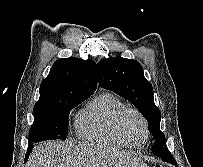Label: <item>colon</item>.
<instances>
[{"instance_id":"5ec220e1","label":"colon","mask_w":203,"mask_h":167,"mask_svg":"<svg viewBox=\"0 0 203 167\" xmlns=\"http://www.w3.org/2000/svg\"><path fill=\"white\" fill-rule=\"evenodd\" d=\"M156 167H162V166H160V165H157Z\"/></svg>"}]
</instances>
